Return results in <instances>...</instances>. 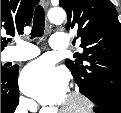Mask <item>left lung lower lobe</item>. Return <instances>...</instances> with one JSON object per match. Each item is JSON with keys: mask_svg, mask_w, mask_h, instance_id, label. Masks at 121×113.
Instances as JSON below:
<instances>
[{"mask_svg": "<svg viewBox=\"0 0 121 113\" xmlns=\"http://www.w3.org/2000/svg\"><path fill=\"white\" fill-rule=\"evenodd\" d=\"M98 107L95 108L97 113H121V103L105 97L91 98Z\"/></svg>", "mask_w": 121, "mask_h": 113, "instance_id": "obj_1", "label": "left lung lower lobe"}]
</instances>
